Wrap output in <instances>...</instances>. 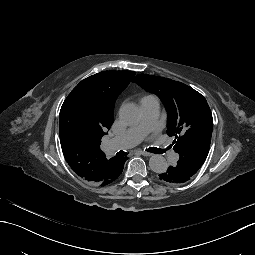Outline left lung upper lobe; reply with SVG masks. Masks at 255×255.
Returning a JSON list of instances; mask_svg holds the SVG:
<instances>
[{
  "mask_svg": "<svg viewBox=\"0 0 255 255\" xmlns=\"http://www.w3.org/2000/svg\"><path fill=\"white\" fill-rule=\"evenodd\" d=\"M133 82L164 103L167 133L175 136L172 145L180 156L175 166L192 177L205 162L211 143L213 119L206 99L191 87L164 77L139 74Z\"/></svg>",
  "mask_w": 255,
  "mask_h": 255,
  "instance_id": "5c2ea615",
  "label": "left lung upper lobe"
}]
</instances>
